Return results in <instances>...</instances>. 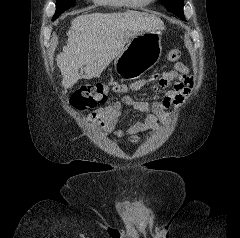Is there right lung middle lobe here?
Listing matches in <instances>:
<instances>
[{
	"label": "right lung middle lobe",
	"instance_id": "right-lung-middle-lobe-1",
	"mask_svg": "<svg viewBox=\"0 0 240 238\" xmlns=\"http://www.w3.org/2000/svg\"><path fill=\"white\" fill-rule=\"evenodd\" d=\"M76 0H56V11L53 19H56L60 14L69 9L75 4Z\"/></svg>",
	"mask_w": 240,
	"mask_h": 238
}]
</instances>
